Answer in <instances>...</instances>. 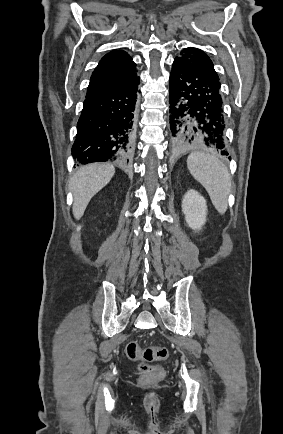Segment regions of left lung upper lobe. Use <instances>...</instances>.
<instances>
[{
    "mask_svg": "<svg viewBox=\"0 0 283 434\" xmlns=\"http://www.w3.org/2000/svg\"><path fill=\"white\" fill-rule=\"evenodd\" d=\"M191 65L201 69L202 71L219 78L210 58L200 49L194 47L184 48L179 57H176Z\"/></svg>",
    "mask_w": 283,
    "mask_h": 434,
    "instance_id": "left-lung-upper-lobe-1",
    "label": "left lung upper lobe"
}]
</instances>
